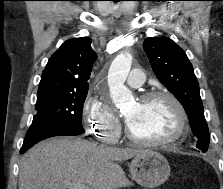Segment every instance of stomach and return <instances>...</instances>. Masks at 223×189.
<instances>
[{"instance_id":"1","label":"stomach","mask_w":223,"mask_h":189,"mask_svg":"<svg viewBox=\"0 0 223 189\" xmlns=\"http://www.w3.org/2000/svg\"><path fill=\"white\" fill-rule=\"evenodd\" d=\"M132 178L145 188H155L170 176L167 159L158 152L145 150L136 155L130 163Z\"/></svg>"}]
</instances>
